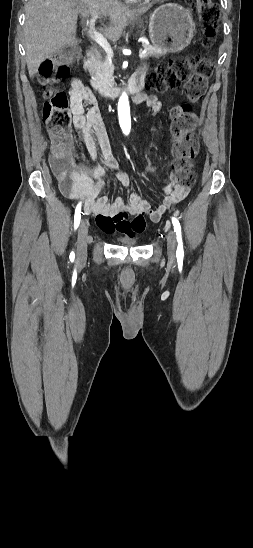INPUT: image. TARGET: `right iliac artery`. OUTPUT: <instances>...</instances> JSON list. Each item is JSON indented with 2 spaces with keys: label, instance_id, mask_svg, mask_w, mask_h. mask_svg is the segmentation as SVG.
Returning <instances> with one entry per match:
<instances>
[{
  "label": "right iliac artery",
  "instance_id": "1",
  "mask_svg": "<svg viewBox=\"0 0 253 548\" xmlns=\"http://www.w3.org/2000/svg\"><path fill=\"white\" fill-rule=\"evenodd\" d=\"M80 219H81V202L77 205L76 210H75V216H74V228H75V230L79 226ZM74 257H75L74 252H71L70 259L73 260Z\"/></svg>",
  "mask_w": 253,
  "mask_h": 548
}]
</instances>
